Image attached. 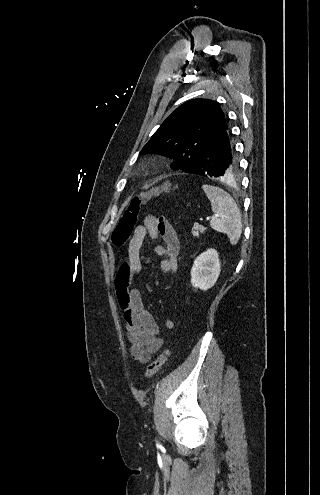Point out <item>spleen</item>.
I'll return each mask as SVG.
<instances>
[{"mask_svg":"<svg viewBox=\"0 0 320 495\" xmlns=\"http://www.w3.org/2000/svg\"><path fill=\"white\" fill-rule=\"evenodd\" d=\"M202 188L211 202L213 213L216 214V218L210 222L211 228L226 234L231 245H236L241 236L242 222L234 199L219 187L203 185Z\"/></svg>","mask_w":320,"mask_h":495,"instance_id":"obj_1","label":"spleen"}]
</instances>
